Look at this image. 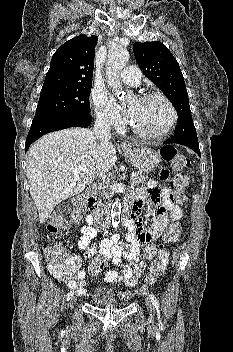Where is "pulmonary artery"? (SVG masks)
Segmentation results:
<instances>
[{
    "label": "pulmonary artery",
    "instance_id": "e3ab8cb5",
    "mask_svg": "<svg viewBox=\"0 0 233 352\" xmlns=\"http://www.w3.org/2000/svg\"><path fill=\"white\" fill-rule=\"evenodd\" d=\"M120 77L126 84L138 86L141 80V73L137 67L129 66L121 71Z\"/></svg>",
    "mask_w": 233,
    "mask_h": 352
}]
</instances>
